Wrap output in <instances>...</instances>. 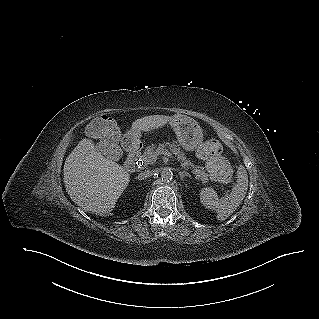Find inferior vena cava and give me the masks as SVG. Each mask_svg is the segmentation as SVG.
I'll return each instance as SVG.
<instances>
[{
	"label": "inferior vena cava",
	"instance_id": "602c4592",
	"mask_svg": "<svg viewBox=\"0 0 319 319\" xmlns=\"http://www.w3.org/2000/svg\"><path fill=\"white\" fill-rule=\"evenodd\" d=\"M153 175V171H144V172H141L139 175H138V179L142 180V179H146V178H149Z\"/></svg>",
	"mask_w": 319,
	"mask_h": 319
}]
</instances>
